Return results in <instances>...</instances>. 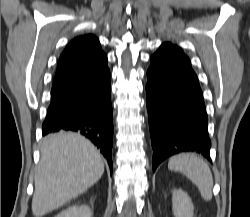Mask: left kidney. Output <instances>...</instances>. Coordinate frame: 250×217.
Segmentation results:
<instances>
[{"label":"left kidney","mask_w":250,"mask_h":217,"mask_svg":"<svg viewBox=\"0 0 250 217\" xmlns=\"http://www.w3.org/2000/svg\"><path fill=\"white\" fill-rule=\"evenodd\" d=\"M172 210L175 217H193L194 207L186 192L177 189L172 195Z\"/></svg>","instance_id":"left-kidney-1"}]
</instances>
